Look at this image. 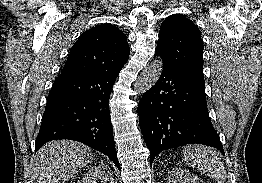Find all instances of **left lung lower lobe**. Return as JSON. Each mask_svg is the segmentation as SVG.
Wrapping results in <instances>:
<instances>
[{
  "label": "left lung lower lobe",
  "mask_w": 262,
  "mask_h": 183,
  "mask_svg": "<svg viewBox=\"0 0 262 183\" xmlns=\"http://www.w3.org/2000/svg\"><path fill=\"white\" fill-rule=\"evenodd\" d=\"M140 128L150 150V163L165 149L204 144L224 153L206 104L205 83L163 64L156 84L137 108Z\"/></svg>",
  "instance_id": "1"
}]
</instances>
